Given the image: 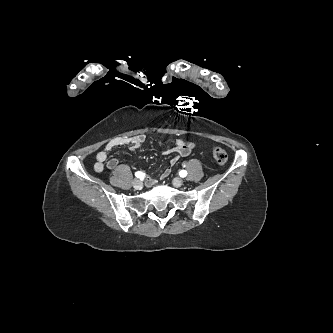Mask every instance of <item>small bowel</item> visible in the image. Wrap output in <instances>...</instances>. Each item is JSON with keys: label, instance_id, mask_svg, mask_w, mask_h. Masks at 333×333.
I'll return each instance as SVG.
<instances>
[{"label": "small bowel", "instance_id": "obj_1", "mask_svg": "<svg viewBox=\"0 0 333 333\" xmlns=\"http://www.w3.org/2000/svg\"><path fill=\"white\" fill-rule=\"evenodd\" d=\"M144 142V135H137L133 137H116L110 140L105 145V147L96 154V163L94 165L95 171L102 172L105 167L113 170L119 166V160L117 158H108L109 153L113 149L121 146H128L131 151H136ZM194 147V144L191 142H188L184 139H177L172 147L164 151V154L175 153V156L171 158L169 167L162 171L161 177L166 178L170 174L171 167L178 163L179 158L181 156L189 155ZM155 185L156 181L154 179H150L149 186L153 187Z\"/></svg>", "mask_w": 333, "mask_h": 333}]
</instances>
